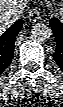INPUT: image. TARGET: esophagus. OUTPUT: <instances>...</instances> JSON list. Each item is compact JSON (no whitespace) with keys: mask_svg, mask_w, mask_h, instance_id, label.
Wrapping results in <instances>:
<instances>
[{"mask_svg":"<svg viewBox=\"0 0 63 107\" xmlns=\"http://www.w3.org/2000/svg\"><path fill=\"white\" fill-rule=\"evenodd\" d=\"M29 21L37 22L40 19V13L37 9H32L28 15Z\"/></svg>","mask_w":63,"mask_h":107,"instance_id":"1","label":"esophagus"}]
</instances>
